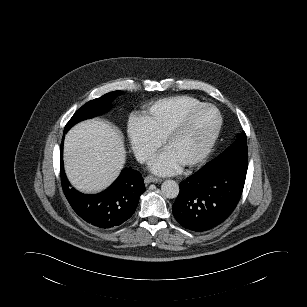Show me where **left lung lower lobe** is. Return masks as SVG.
I'll list each match as a JSON object with an SVG mask.
<instances>
[{"label":"left lung lower lobe","instance_id":"0a47b994","mask_svg":"<svg viewBox=\"0 0 307 307\" xmlns=\"http://www.w3.org/2000/svg\"><path fill=\"white\" fill-rule=\"evenodd\" d=\"M247 166L216 164L203 167L182 181L172 207L178 223L195 232L222 224L240 200Z\"/></svg>","mask_w":307,"mask_h":307}]
</instances>
